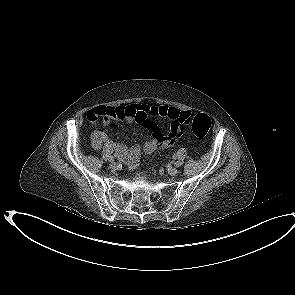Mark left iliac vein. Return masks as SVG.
Segmentation results:
<instances>
[{"mask_svg": "<svg viewBox=\"0 0 295 295\" xmlns=\"http://www.w3.org/2000/svg\"><path fill=\"white\" fill-rule=\"evenodd\" d=\"M177 173H178V170L176 168H174V167H170L168 169V174L171 175V176H175V175H177Z\"/></svg>", "mask_w": 295, "mask_h": 295, "instance_id": "left-iliac-vein-1", "label": "left iliac vein"}]
</instances>
